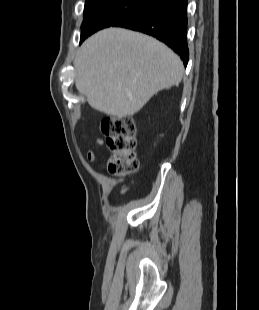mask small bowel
Returning a JSON list of instances; mask_svg holds the SVG:
<instances>
[{"label": "small bowel", "instance_id": "obj_1", "mask_svg": "<svg viewBox=\"0 0 259 310\" xmlns=\"http://www.w3.org/2000/svg\"><path fill=\"white\" fill-rule=\"evenodd\" d=\"M94 145L100 147L103 145V140L100 137L94 139ZM96 151L94 149H89L86 153V158L89 162L93 163L96 160Z\"/></svg>", "mask_w": 259, "mask_h": 310}]
</instances>
